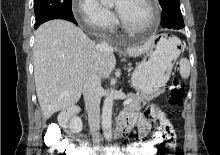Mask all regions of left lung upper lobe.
<instances>
[{
	"label": "left lung upper lobe",
	"mask_w": 220,
	"mask_h": 155,
	"mask_svg": "<svg viewBox=\"0 0 220 155\" xmlns=\"http://www.w3.org/2000/svg\"><path fill=\"white\" fill-rule=\"evenodd\" d=\"M159 3L162 9L172 6H180V0H159Z\"/></svg>",
	"instance_id": "left-lung-upper-lobe-1"
}]
</instances>
